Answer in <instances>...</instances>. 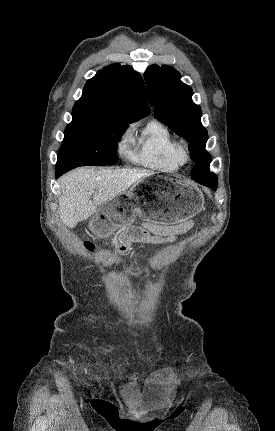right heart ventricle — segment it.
Listing matches in <instances>:
<instances>
[{
    "instance_id": "e07e8e85",
    "label": "right heart ventricle",
    "mask_w": 275,
    "mask_h": 431,
    "mask_svg": "<svg viewBox=\"0 0 275 431\" xmlns=\"http://www.w3.org/2000/svg\"><path fill=\"white\" fill-rule=\"evenodd\" d=\"M134 159L145 167L163 172L175 171L185 162L180 142L157 120L150 121L142 131Z\"/></svg>"
}]
</instances>
